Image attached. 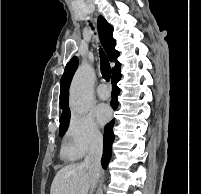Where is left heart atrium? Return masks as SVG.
<instances>
[{
	"label": "left heart atrium",
	"mask_w": 201,
	"mask_h": 194,
	"mask_svg": "<svg viewBox=\"0 0 201 194\" xmlns=\"http://www.w3.org/2000/svg\"><path fill=\"white\" fill-rule=\"evenodd\" d=\"M95 116L100 124H105L111 116V111L107 105H99L95 110Z\"/></svg>",
	"instance_id": "39dd6f15"
}]
</instances>
